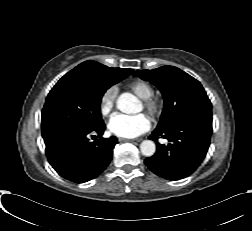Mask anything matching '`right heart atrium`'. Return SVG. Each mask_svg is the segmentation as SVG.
Listing matches in <instances>:
<instances>
[{"label":"right heart atrium","instance_id":"1","mask_svg":"<svg viewBox=\"0 0 252 231\" xmlns=\"http://www.w3.org/2000/svg\"><path fill=\"white\" fill-rule=\"evenodd\" d=\"M117 94L118 87L116 85L107 87L101 94L99 109L103 116H107L113 110Z\"/></svg>","mask_w":252,"mask_h":231}]
</instances>
